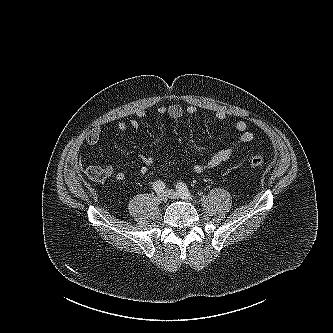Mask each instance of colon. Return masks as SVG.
Instances as JSON below:
<instances>
[{
    "mask_svg": "<svg viewBox=\"0 0 333 333\" xmlns=\"http://www.w3.org/2000/svg\"><path fill=\"white\" fill-rule=\"evenodd\" d=\"M251 165L255 169H260L264 166V158L262 155L255 153L251 156Z\"/></svg>",
    "mask_w": 333,
    "mask_h": 333,
    "instance_id": "1",
    "label": "colon"
}]
</instances>
